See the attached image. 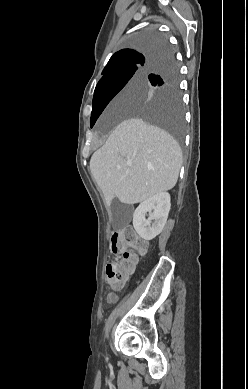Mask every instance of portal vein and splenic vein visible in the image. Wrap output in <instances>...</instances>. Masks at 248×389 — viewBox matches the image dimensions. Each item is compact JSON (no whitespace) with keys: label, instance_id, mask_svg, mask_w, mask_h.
Masks as SVG:
<instances>
[{"label":"portal vein and splenic vein","instance_id":"18ae733b","mask_svg":"<svg viewBox=\"0 0 248 389\" xmlns=\"http://www.w3.org/2000/svg\"><path fill=\"white\" fill-rule=\"evenodd\" d=\"M132 164L131 163H128V166H131Z\"/></svg>","mask_w":248,"mask_h":389}]
</instances>
